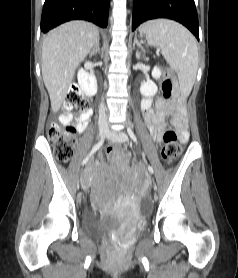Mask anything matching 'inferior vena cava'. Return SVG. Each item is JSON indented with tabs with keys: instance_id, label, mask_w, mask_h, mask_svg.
I'll use <instances>...</instances> for the list:
<instances>
[{
	"instance_id": "inferior-vena-cava-1",
	"label": "inferior vena cava",
	"mask_w": 238,
	"mask_h": 278,
	"mask_svg": "<svg viewBox=\"0 0 238 278\" xmlns=\"http://www.w3.org/2000/svg\"><path fill=\"white\" fill-rule=\"evenodd\" d=\"M106 109L104 107L103 104L100 105V108H99V126H104V127H107V116H106V113H105Z\"/></svg>"
}]
</instances>
